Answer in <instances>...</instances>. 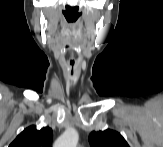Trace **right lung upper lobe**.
<instances>
[{
    "label": "right lung upper lobe",
    "instance_id": "1",
    "mask_svg": "<svg viewBox=\"0 0 163 147\" xmlns=\"http://www.w3.org/2000/svg\"><path fill=\"white\" fill-rule=\"evenodd\" d=\"M53 132L49 127L37 129L34 125L24 129L9 147H51Z\"/></svg>",
    "mask_w": 163,
    "mask_h": 147
}]
</instances>
